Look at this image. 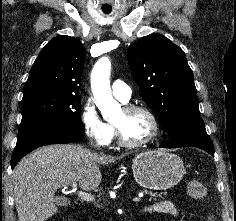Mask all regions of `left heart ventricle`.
I'll return each instance as SVG.
<instances>
[{"mask_svg":"<svg viewBox=\"0 0 236 221\" xmlns=\"http://www.w3.org/2000/svg\"><path fill=\"white\" fill-rule=\"evenodd\" d=\"M114 123L119 126L123 137L131 142L148 138L153 130L150 118L143 112L127 114L121 110Z\"/></svg>","mask_w":236,"mask_h":221,"instance_id":"obj_1","label":"left heart ventricle"}]
</instances>
